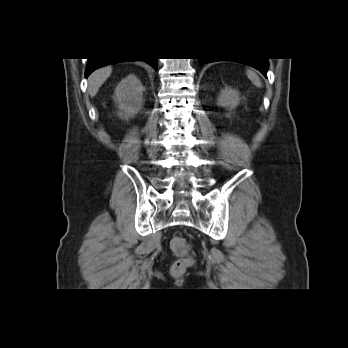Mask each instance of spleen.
<instances>
[{
	"label": "spleen",
	"instance_id": "1",
	"mask_svg": "<svg viewBox=\"0 0 348 348\" xmlns=\"http://www.w3.org/2000/svg\"><path fill=\"white\" fill-rule=\"evenodd\" d=\"M246 74L248 76V78L250 79V81L256 86V87H261L262 86V82L261 79L259 78V76L256 74V72L254 70L248 69L246 71Z\"/></svg>",
	"mask_w": 348,
	"mask_h": 348
}]
</instances>
